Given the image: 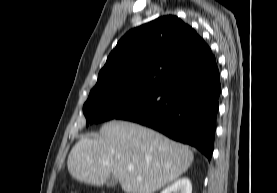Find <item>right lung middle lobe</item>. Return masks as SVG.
<instances>
[{
	"label": "right lung middle lobe",
	"mask_w": 277,
	"mask_h": 193,
	"mask_svg": "<svg viewBox=\"0 0 277 193\" xmlns=\"http://www.w3.org/2000/svg\"><path fill=\"white\" fill-rule=\"evenodd\" d=\"M157 88L125 86L103 91L90 92L83 106V113L89 123H100L118 119L149 98Z\"/></svg>",
	"instance_id": "right-lung-middle-lobe-1"
}]
</instances>
